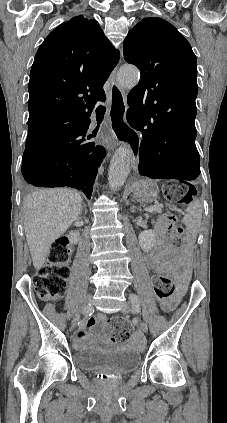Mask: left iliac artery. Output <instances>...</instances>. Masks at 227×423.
Listing matches in <instances>:
<instances>
[{
  "instance_id": "1",
  "label": "left iliac artery",
  "mask_w": 227,
  "mask_h": 423,
  "mask_svg": "<svg viewBox=\"0 0 227 423\" xmlns=\"http://www.w3.org/2000/svg\"><path fill=\"white\" fill-rule=\"evenodd\" d=\"M129 300L132 303V310L135 311L136 313H140L141 312L140 302H139L137 295L131 293L130 296H129ZM134 305H135V307H133Z\"/></svg>"
}]
</instances>
